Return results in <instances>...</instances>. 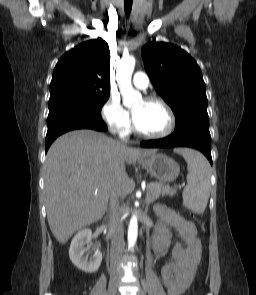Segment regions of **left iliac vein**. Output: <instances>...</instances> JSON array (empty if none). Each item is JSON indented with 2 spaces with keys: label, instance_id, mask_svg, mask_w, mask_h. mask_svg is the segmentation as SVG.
Instances as JSON below:
<instances>
[{
  "label": "left iliac vein",
  "instance_id": "obj_1",
  "mask_svg": "<svg viewBox=\"0 0 256 295\" xmlns=\"http://www.w3.org/2000/svg\"><path fill=\"white\" fill-rule=\"evenodd\" d=\"M137 295H146V293L144 290L140 289V290H138Z\"/></svg>",
  "mask_w": 256,
  "mask_h": 295
}]
</instances>
